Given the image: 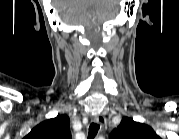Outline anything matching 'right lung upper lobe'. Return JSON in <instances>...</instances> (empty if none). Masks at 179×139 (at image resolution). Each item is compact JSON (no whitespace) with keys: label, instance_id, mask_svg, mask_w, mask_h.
Instances as JSON below:
<instances>
[{"label":"right lung upper lobe","instance_id":"right-lung-upper-lobe-1","mask_svg":"<svg viewBox=\"0 0 179 139\" xmlns=\"http://www.w3.org/2000/svg\"><path fill=\"white\" fill-rule=\"evenodd\" d=\"M25 139H71L68 116L58 115L40 123Z\"/></svg>","mask_w":179,"mask_h":139}]
</instances>
